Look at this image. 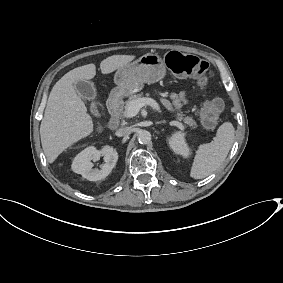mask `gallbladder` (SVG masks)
Masks as SVG:
<instances>
[{
  "mask_svg": "<svg viewBox=\"0 0 283 283\" xmlns=\"http://www.w3.org/2000/svg\"><path fill=\"white\" fill-rule=\"evenodd\" d=\"M76 90L81 97H87L90 100H94L98 96L97 90L89 82H80L76 85Z\"/></svg>",
  "mask_w": 283,
  "mask_h": 283,
  "instance_id": "obj_1",
  "label": "gallbladder"
}]
</instances>
